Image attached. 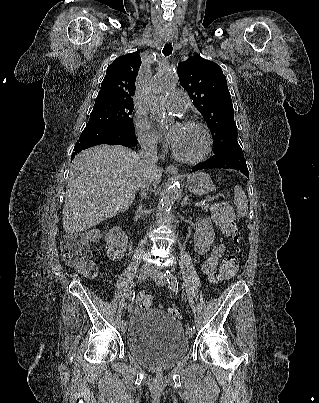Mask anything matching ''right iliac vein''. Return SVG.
<instances>
[{"mask_svg": "<svg viewBox=\"0 0 319 403\" xmlns=\"http://www.w3.org/2000/svg\"><path fill=\"white\" fill-rule=\"evenodd\" d=\"M150 273L151 268L147 265H143L138 272V282L139 283L144 282ZM126 330H127V324L124 322L121 326V331L125 333Z\"/></svg>", "mask_w": 319, "mask_h": 403, "instance_id": "1", "label": "right iliac vein"}]
</instances>
